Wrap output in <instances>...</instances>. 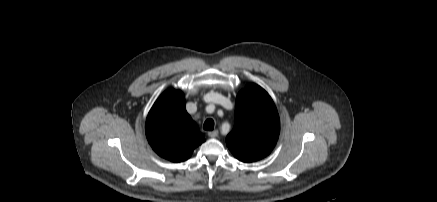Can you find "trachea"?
<instances>
[{"label": "trachea", "instance_id": "1", "mask_svg": "<svg viewBox=\"0 0 437 202\" xmlns=\"http://www.w3.org/2000/svg\"><path fill=\"white\" fill-rule=\"evenodd\" d=\"M204 130L212 131L214 129V121L213 119H207L203 124Z\"/></svg>", "mask_w": 437, "mask_h": 202}]
</instances>
